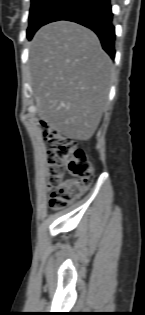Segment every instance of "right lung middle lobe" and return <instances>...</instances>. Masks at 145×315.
Here are the masks:
<instances>
[{
  "label": "right lung middle lobe",
  "mask_w": 145,
  "mask_h": 315,
  "mask_svg": "<svg viewBox=\"0 0 145 315\" xmlns=\"http://www.w3.org/2000/svg\"><path fill=\"white\" fill-rule=\"evenodd\" d=\"M65 1L66 0H31L27 38L31 39L34 33Z\"/></svg>",
  "instance_id": "dd1d6c3e"
}]
</instances>
